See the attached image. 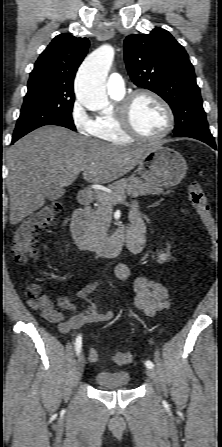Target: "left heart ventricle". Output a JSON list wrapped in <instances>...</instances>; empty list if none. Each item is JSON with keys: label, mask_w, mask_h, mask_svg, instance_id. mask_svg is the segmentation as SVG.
I'll list each match as a JSON object with an SVG mask.
<instances>
[{"label": "left heart ventricle", "mask_w": 222, "mask_h": 447, "mask_svg": "<svg viewBox=\"0 0 222 447\" xmlns=\"http://www.w3.org/2000/svg\"><path fill=\"white\" fill-rule=\"evenodd\" d=\"M132 122L143 135L156 136L166 126L167 118L163 108L148 96H139L132 107Z\"/></svg>", "instance_id": "1"}]
</instances>
